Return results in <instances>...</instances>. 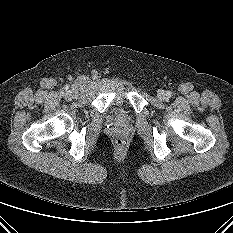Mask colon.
Segmentation results:
<instances>
[{
    "label": "colon",
    "instance_id": "colon-1",
    "mask_svg": "<svg viewBox=\"0 0 233 233\" xmlns=\"http://www.w3.org/2000/svg\"><path fill=\"white\" fill-rule=\"evenodd\" d=\"M117 147L121 148L125 145V140L121 137L117 138L115 141Z\"/></svg>",
    "mask_w": 233,
    "mask_h": 233
}]
</instances>
